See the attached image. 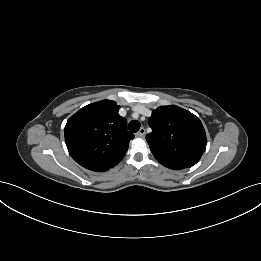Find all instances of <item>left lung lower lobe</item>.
<instances>
[{"mask_svg":"<svg viewBox=\"0 0 261 261\" xmlns=\"http://www.w3.org/2000/svg\"><path fill=\"white\" fill-rule=\"evenodd\" d=\"M159 163H161L163 166H165L167 168L174 169V170L184 169V167H180V166H177V165L169 164V163H166V162H163V161H159Z\"/></svg>","mask_w":261,"mask_h":261,"instance_id":"1","label":"left lung lower lobe"}]
</instances>
